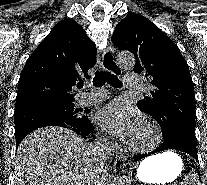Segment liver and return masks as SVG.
I'll return each mask as SVG.
<instances>
[{"mask_svg":"<svg viewBox=\"0 0 207 185\" xmlns=\"http://www.w3.org/2000/svg\"><path fill=\"white\" fill-rule=\"evenodd\" d=\"M97 149L64 127H42L20 143L14 185H95Z\"/></svg>","mask_w":207,"mask_h":185,"instance_id":"liver-1","label":"liver"}]
</instances>
